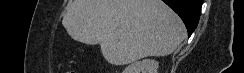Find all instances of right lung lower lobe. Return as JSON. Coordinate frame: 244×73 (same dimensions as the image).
Here are the masks:
<instances>
[{
    "instance_id": "obj_1",
    "label": "right lung lower lobe",
    "mask_w": 244,
    "mask_h": 73,
    "mask_svg": "<svg viewBox=\"0 0 244 73\" xmlns=\"http://www.w3.org/2000/svg\"><path fill=\"white\" fill-rule=\"evenodd\" d=\"M171 7L183 20L188 36L197 27L200 17L202 0H162Z\"/></svg>"
}]
</instances>
